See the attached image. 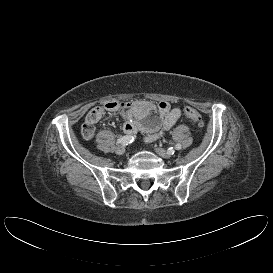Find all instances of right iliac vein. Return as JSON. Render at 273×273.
<instances>
[{
	"instance_id": "1",
	"label": "right iliac vein",
	"mask_w": 273,
	"mask_h": 273,
	"mask_svg": "<svg viewBox=\"0 0 273 273\" xmlns=\"http://www.w3.org/2000/svg\"><path fill=\"white\" fill-rule=\"evenodd\" d=\"M115 152L118 154V155H122L124 154L125 152V147L123 145H119L116 147V150Z\"/></svg>"
}]
</instances>
